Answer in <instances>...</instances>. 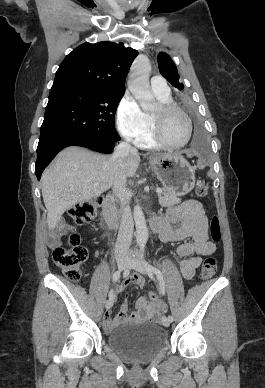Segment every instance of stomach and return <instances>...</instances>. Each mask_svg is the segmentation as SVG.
Segmentation results:
<instances>
[{
    "mask_svg": "<svg viewBox=\"0 0 265 388\" xmlns=\"http://www.w3.org/2000/svg\"><path fill=\"white\" fill-rule=\"evenodd\" d=\"M150 166L165 189L174 195H186L194 188V168L183 156L155 155L150 158Z\"/></svg>",
    "mask_w": 265,
    "mask_h": 388,
    "instance_id": "obj_1",
    "label": "stomach"
}]
</instances>
